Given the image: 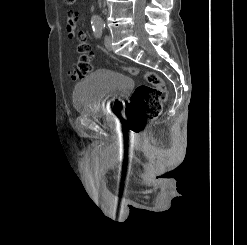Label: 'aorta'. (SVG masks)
<instances>
[{"label":"aorta","instance_id":"aorta-1","mask_svg":"<svg viewBox=\"0 0 247 245\" xmlns=\"http://www.w3.org/2000/svg\"><path fill=\"white\" fill-rule=\"evenodd\" d=\"M102 23H103V20L98 15H93L91 17V24L92 25H101Z\"/></svg>","mask_w":247,"mask_h":245}]
</instances>
